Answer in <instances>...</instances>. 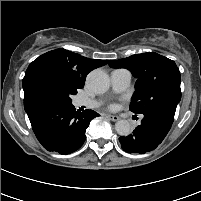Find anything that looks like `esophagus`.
<instances>
[{
  "label": "esophagus",
  "mask_w": 201,
  "mask_h": 201,
  "mask_svg": "<svg viewBox=\"0 0 201 201\" xmlns=\"http://www.w3.org/2000/svg\"><path fill=\"white\" fill-rule=\"evenodd\" d=\"M107 117L111 120V121H118L120 118L117 116V115H111V114H108Z\"/></svg>",
  "instance_id": "34e87169"
}]
</instances>
